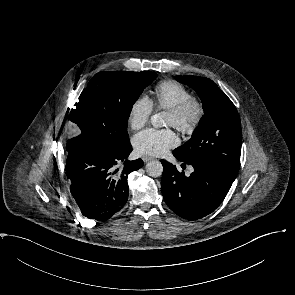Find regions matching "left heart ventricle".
Listing matches in <instances>:
<instances>
[{"mask_svg":"<svg viewBox=\"0 0 295 295\" xmlns=\"http://www.w3.org/2000/svg\"><path fill=\"white\" fill-rule=\"evenodd\" d=\"M175 124H176L175 117L169 113L168 118H167V126H175Z\"/></svg>","mask_w":295,"mask_h":295,"instance_id":"b2bd125f","label":"left heart ventricle"}]
</instances>
